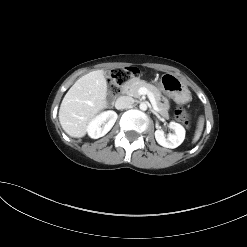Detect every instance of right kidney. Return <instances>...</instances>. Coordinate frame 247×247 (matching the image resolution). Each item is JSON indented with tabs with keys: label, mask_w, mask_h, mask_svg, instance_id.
<instances>
[{
	"label": "right kidney",
	"mask_w": 247,
	"mask_h": 247,
	"mask_svg": "<svg viewBox=\"0 0 247 247\" xmlns=\"http://www.w3.org/2000/svg\"><path fill=\"white\" fill-rule=\"evenodd\" d=\"M117 113L109 110L102 112L92 119L87 126V133L93 139H98L106 135L117 120Z\"/></svg>",
	"instance_id": "1"
}]
</instances>
